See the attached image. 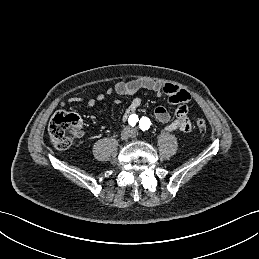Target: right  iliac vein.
I'll list each match as a JSON object with an SVG mask.
<instances>
[{
	"instance_id": "63e3f726",
	"label": "right iliac vein",
	"mask_w": 259,
	"mask_h": 259,
	"mask_svg": "<svg viewBox=\"0 0 259 259\" xmlns=\"http://www.w3.org/2000/svg\"><path fill=\"white\" fill-rule=\"evenodd\" d=\"M130 136H131V131L129 128H126L121 132L120 138L121 140H127Z\"/></svg>"
}]
</instances>
